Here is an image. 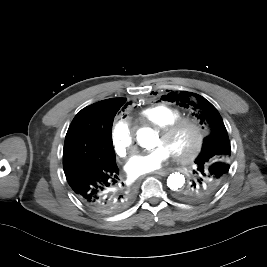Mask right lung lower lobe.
Segmentation results:
<instances>
[{
  "label": "right lung lower lobe",
  "instance_id": "right-lung-lower-lobe-1",
  "mask_svg": "<svg viewBox=\"0 0 267 267\" xmlns=\"http://www.w3.org/2000/svg\"><path fill=\"white\" fill-rule=\"evenodd\" d=\"M84 132L75 137L76 151L83 141L90 139ZM66 175L77 197L92 210L102 214H116L125 210L135 199V190L122 182L116 161L95 162Z\"/></svg>",
  "mask_w": 267,
  "mask_h": 267
}]
</instances>
